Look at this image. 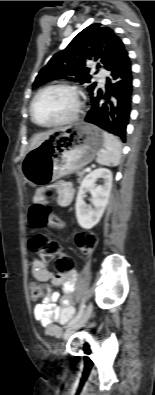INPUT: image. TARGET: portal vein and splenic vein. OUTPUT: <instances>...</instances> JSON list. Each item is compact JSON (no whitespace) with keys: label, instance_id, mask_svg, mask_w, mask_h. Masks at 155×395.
<instances>
[{"label":"portal vein and splenic vein","instance_id":"18ae733b","mask_svg":"<svg viewBox=\"0 0 155 395\" xmlns=\"http://www.w3.org/2000/svg\"><path fill=\"white\" fill-rule=\"evenodd\" d=\"M85 171H86V172H89V171H90V168H89V167L85 168Z\"/></svg>","mask_w":155,"mask_h":395}]
</instances>
